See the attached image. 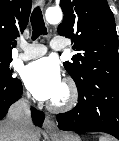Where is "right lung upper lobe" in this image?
Masks as SVG:
<instances>
[{
    "mask_svg": "<svg viewBox=\"0 0 119 141\" xmlns=\"http://www.w3.org/2000/svg\"><path fill=\"white\" fill-rule=\"evenodd\" d=\"M31 0H0V58L12 57V46L29 20Z\"/></svg>",
    "mask_w": 119,
    "mask_h": 141,
    "instance_id": "cb5924a9",
    "label": "right lung upper lobe"
}]
</instances>
